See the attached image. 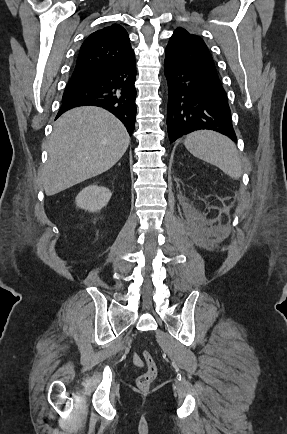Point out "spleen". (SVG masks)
Listing matches in <instances>:
<instances>
[{"instance_id": "1", "label": "spleen", "mask_w": 287, "mask_h": 434, "mask_svg": "<svg viewBox=\"0 0 287 434\" xmlns=\"http://www.w3.org/2000/svg\"><path fill=\"white\" fill-rule=\"evenodd\" d=\"M186 149L195 157L219 167L233 179L242 176V163L236 145L214 131H195L185 138Z\"/></svg>"}]
</instances>
